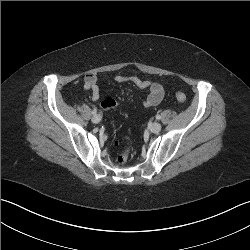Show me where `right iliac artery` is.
<instances>
[{"label": "right iliac artery", "instance_id": "1", "mask_svg": "<svg viewBox=\"0 0 250 250\" xmlns=\"http://www.w3.org/2000/svg\"><path fill=\"white\" fill-rule=\"evenodd\" d=\"M96 113H97V110L94 108L92 111V114H96Z\"/></svg>", "mask_w": 250, "mask_h": 250}]
</instances>
